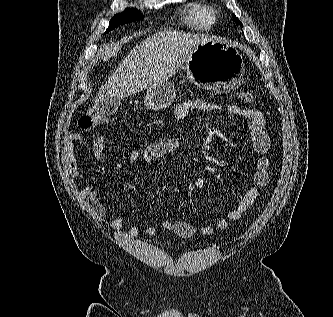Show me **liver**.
<instances>
[{
  "label": "liver",
  "instance_id": "liver-1",
  "mask_svg": "<svg viewBox=\"0 0 333 317\" xmlns=\"http://www.w3.org/2000/svg\"><path fill=\"white\" fill-rule=\"evenodd\" d=\"M213 37L200 34L160 31L134 47L100 88L89 109L113 97L122 99L148 89L175 75L195 49Z\"/></svg>",
  "mask_w": 333,
  "mask_h": 317
}]
</instances>
